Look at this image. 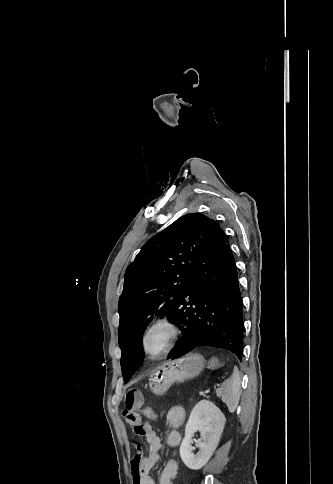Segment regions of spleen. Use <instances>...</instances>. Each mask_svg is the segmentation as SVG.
Returning <instances> with one entry per match:
<instances>
[{
	"mask_svg": "<svg viewBox=\"0 0 333 484\" xmlns=\"http://www.w3.org/2000/svg\"><path fill=\"white\" fill-rule=\"evenodd\" d=\"M223 403L226 404L230 413H234L240 398V375L237 367L234 368L232 376L223 382L216 391Z\"/></svg>",
	"mask_w": 333,
	"mask_h": 484,
	"instance_id": "1",
	"label": "spleen"
}]
</instances>
